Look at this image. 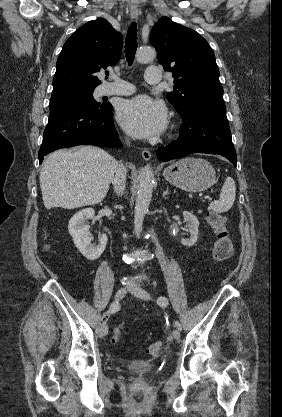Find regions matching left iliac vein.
<instances>
[{
  "mask_svg": "<svg viewBox=\"0 0 282 417\" xmlns=\"http://www.w3.org/2000/svg\"><path fill=\"white\" fill-rule=\"evenodd\" d=\"M130 292L141 299L144 300H150V294L145 291L144 289H142L141 287L137 286V285H133L130 289ZM172 335L174 337V339L178 340L180 338V331L178 329L173 330Z\"/></svg>",
  "mask_w": 282,
  "mask_h": 417,
  "instance_id": "1",
  "label": "left iliac vein"
}]
</instances>
